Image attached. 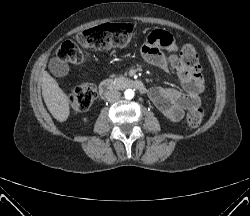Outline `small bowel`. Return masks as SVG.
Returning a JSON list of instances; mask_svg holds the SVG:
<instances>
[{"instance_id":"c3829d8e","label":"small bowel","mask_w":250,"mask_h":216,"mask_svg":"<svg viewBox=\"0 0 250 216\" xmlns=\"http://www.w3.org/2000/svg\"><path fill=\"white\" fill-rule=\"evenodd\" d=\"M166 48L168 55L161 53ZM142 56L146 62L167 72H174L180 80L182 90L175 87H154L149 96L159 111L170 121L178 122L185 110L198 107L203 90V79L198 73H191L182 65L175 53V39L169 32L156 30L143 39Z\"/></svg>"}]
</instances>
